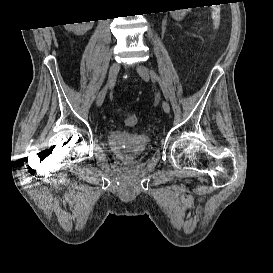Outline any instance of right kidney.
<instances>
[{"label":"right kidney","instance_id":"ca27d5eb","mask_svg":"<svg viewBox=\"0 0 273 273\" xmlns=\"http://www.w3.org/2000/svg\"><path fill=\"white\" fill-rule=\"evenodd\" d=\"M93 23H94V21L75 23L77 26L72 27L71 30L75 34H84L92 28Z\"/></svg>","mask_w":273,"mask_h":273}]
</instances>
